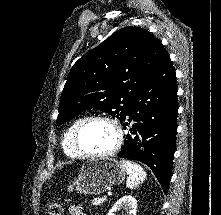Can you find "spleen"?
<instances>
[{"label":"spleen","mask_w":221,"mask_h":215,"mask_svg":"<svg viewBox=\"0 0 221 215\" xmlns=\"http://www.w3.org/2000/svg\"><path fill=\"white\" fill-rule=\"evenodd\" d=\"M120 163L128 174L126 182V186L128 188H137L144 182L146 178V172L139 164L125 159H122Z\"/></svg>","instance_id":"3e777b00"}]
</instances>
